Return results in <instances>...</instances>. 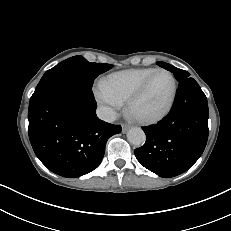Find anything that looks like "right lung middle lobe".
<instances>
[{
  "instance_id": "obj_1",
  "label": "right lung middle lobe",
  "mask_w": 231,
  "mask_h": 231,
  "mask_svg": "<svg viewBox=\"0 0 231 231\" xmlns=\"http://www.w3.org/2000/svg\"><path fill=\"white\" fill-rule=\"evenodd\" d=\"M113 66L105 63H91L82 56H74L46 71L32 96L59 81H72L92 89L94 79Z\"/></svg>"
}]
</instances>
